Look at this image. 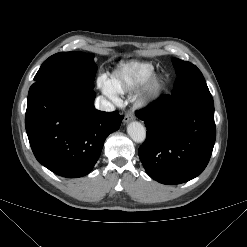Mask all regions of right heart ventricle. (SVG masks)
Listing matches in <instances>:
<instances>
[{"instance_id":"e07e8e85","label":"right heart ventricle","mask_w":247,"mask_h":247,"mask_svg":"<svg viewBox=\"0 0 247 247\" xmlns=\"http://www.w3.org/2000/svg\"><path fill=\"white\" fill-rule=\"evenodd\" d=\"M155 73L150 63L126 62L120 64L109 76L112 91L118 94L134 91L145 85Z\"/></svg>"}]
</instances>
